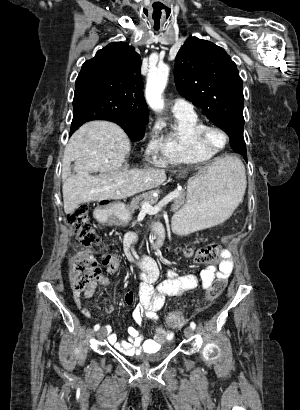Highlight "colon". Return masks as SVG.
Returning a JSON list of instances; mask_svg holds the SVG:
<instances>
[{"mask_svg":"<svg viewBox=\"0 0 300 410\" xmlns=\"http://www.w3.org/2000/svg\"><path fill=\"white\" fill-rule=\"evenodd\" d=\"M68 224L76 230L77 237L84 246L97 247L101 245V237L89 224L87 206L82 205L71 213L68 217ZM221 251V246L218 244L198 249H180L184 256L193 258L197 263L219 262ZM99 255L101 264L108 271L115 272L119 269L120 258L111 249L103 250ZM98 272L97 262L92 255L86 252L77 253L69 260V282L76 292L85 290L97 278ZM225 285L226 281L223 279L214 281L206 291V298L208 300L216 299L222 293ZM166 321L168 326L179 328L184 325L185 317L179 312H173L167 316Z\"/></svg>","mask_w":300,"mask_h":410,"instance_id":"5ec220e1","label":"colon"}]
</instances>
